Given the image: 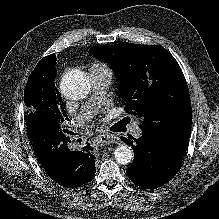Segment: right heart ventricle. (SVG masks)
Masks as SVG:
<instances>
[{
    "mask_svg": "<svg viewBox=\"0 0 219 219\" xmlns=\"http://www.w3.org/2000/svg\"><path fill=\"white\" fill-rule=\"evenodd\" d=\"M92 67H106V66L101 65V64H94Z\"/></svg>",
    "mask_w": 219,
    "mask_h": 219,
    "instance_id": "1",
    "label": "right heart ventricle"
}]
</instances>
